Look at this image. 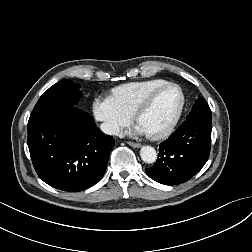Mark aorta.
Segmentation results:
<instances>
[{"label":"aorta","mask_w":252,"mask_h":252,"mask_svg":"<svg viewBox=\"0 0 252 252\" xmlns=\"http://www.w3.org/2000/svg\"><path fill=\"white\" fill-rule=\"evenodd\" d=\"M140 156L148 164L154 163L157 159L156 150L151 146H143L140 150Z\"/></svg>","instance_id":"aorta-1"}]
</instances>
